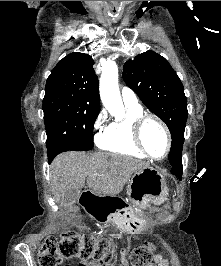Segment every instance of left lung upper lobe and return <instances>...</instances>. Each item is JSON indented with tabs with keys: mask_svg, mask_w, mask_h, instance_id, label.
<instances>
[{
	"mask_svg": "<svg viewBox=\"0 0 221 266\" xmlns=\"http://www.w3.org/2000/svg\"><path fill=\"white\" fill-rule=\"evenodd\" d=\"M125 83L168 126L171 137L169 161H182L184 131L188 117L184 87L168 61L154 51H146L124 64Z\"/></svg>",
	"mask_w": 221,
	"mask_h": 266,
	"instance_id": "5c2ea615",
	"label": "left lung upper lobe"
}]
</instances>
